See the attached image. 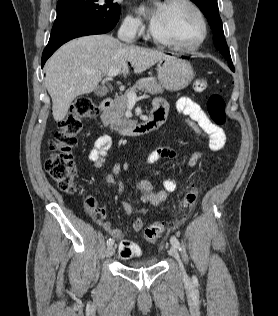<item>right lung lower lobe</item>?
<instances>
[{
  "mask_svg": "<svg viewBox=\"0 0 278 316\" xmlns=\"http://www.w3.org/2000/svg\"><path fill=\"white\" fill-rule=\"evenodd\" d=\"M117 22H101L81 24L51 33L49 42L43 51L41 66L65 42L80 36L103 34L112 30Z\"/></svg>",
  "mask_w": 278,
  "mask_h": 316,
  "instance_id": "obj_1",
  "label": "right lung lower lobe"
}]
</instances>
